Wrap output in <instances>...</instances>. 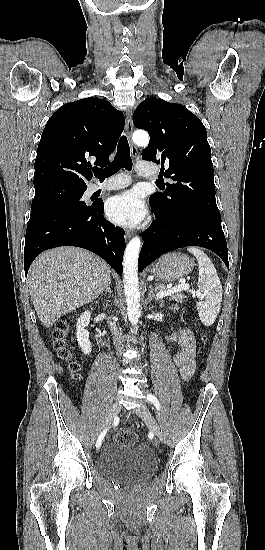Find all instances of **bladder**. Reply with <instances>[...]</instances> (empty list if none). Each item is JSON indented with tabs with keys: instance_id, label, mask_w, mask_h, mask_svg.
Masks as SVG:
<instances>
[{
	"instance_id": "31cf9c89",
	"label": "bladder",
	"mask_w": 265,
	"mask_h": 550,
	"mask_svg": "<svg viewBox=\"0 0 265 550\" xmlns=\"http://www.w3.org/2000/svg\"><path fill=\"white\" fill-rule=\"evenodd\" d=\"M97 465L107 476L123 481H143L153 475L156 459L145 445L115 443L103 449Z\"/></svg>"
}]
</instances>
